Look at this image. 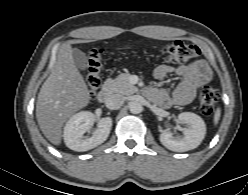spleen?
<instances>
[{
	"label": "spleen",
	"mask_w": 248,
	"mask_h": 195,
	"mask_svg": "<svg viewBox=\"0 0 248 195\" xmlns=\"http://www.w3.org/2000/svg\"><path fill=\"white\" fill-rule=\"evenodd\" d=\"M221 111L220 108H217L215 114H214V124L216 125L220 119Z\"/></svg>",
	"instance_id": "spleen-1"
}]
</instances>
